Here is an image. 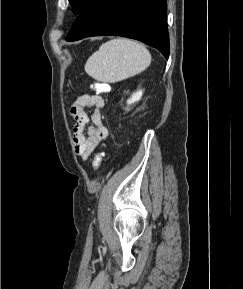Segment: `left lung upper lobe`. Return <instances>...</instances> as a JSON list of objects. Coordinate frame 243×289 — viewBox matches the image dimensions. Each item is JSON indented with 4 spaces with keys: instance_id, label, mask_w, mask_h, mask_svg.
Returning a JSON list of instances; mask_svg holds the SVG:
<instances>
[{
    "instance_id": "1",
    "label": "left lung upper lobe",
    "mask_w": 243,
    "mask_h": 289,
    "mask_svg": "<svg viewBox=\"0 0 243 289\" xmlns=\"http://www.w3.org/2000/svg\"><path fill=\"white\" fill-rule=\"evenodd\" d=\"M90 0H69L75 14H80Z\"/></svg>"
}]
</instances>
